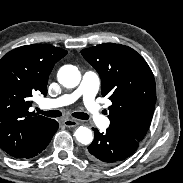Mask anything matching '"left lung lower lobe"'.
<instances>
[{"label":"left lung lower lobe","instance_id":"1","mask_svg":"<svg viewBox=\"0 0 183 183\" xmlns=\"http://www.w3.org/2000/svg\"><path fill=\"white\" fill-rule=\"evenodd\" d=\"M95 137L88 146L86 156L100 165H114L131 156L139 146L140 141L112 128L106 133H100L93 128Z\"/></svg>","mask_w":183,"mask_h":183}]
</instances>
